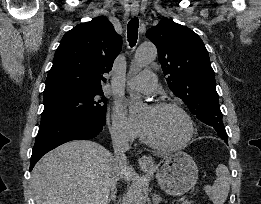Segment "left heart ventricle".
<instances>
[{
	"mask_svg": "<svg viewBox=\"0 0 261 204\" xmlns=\"http://www.w3.org/2000/svg\"><path fill=\"white\" fill-rule=\"evenodd\" d=\"M140 122L161 143L176 144L188 133L187 122L175 109L156 110L147 107L140 116Z\"/></svg>",
	"mask_w": 261,
	"mask_h": 204,
	"instance_id": "obj_1",
	"label": "left heart ventricle"
}]
</instances>
